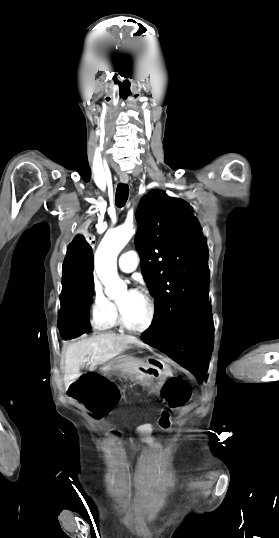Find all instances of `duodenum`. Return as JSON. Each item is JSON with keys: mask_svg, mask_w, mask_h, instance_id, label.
<instances>
[{"mask_svg": "<svg viewBox=\"0 0 279 538\" xmlns=\"http://www.w3.org/2000/svg\"><path fill=\"white\" fill-rule=\"evenodd\" d=\"M103 370L110 369V372H114V369H120V373H135V369H137V366H134L132 368V365H123L122 366H108L103 365ZM150 366L148 364H140L138 366L136 377L134 378V381L136 383L143 382V386H146V390H151L152 385H157V382L154 381V378L158 376V373L156 371H149Z\"/></svg>", "mask_w": 279, "mask_h": 538, "instance_id": "410a0bca", "label": "duodenum"}]
</instances>
